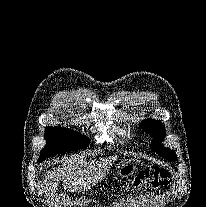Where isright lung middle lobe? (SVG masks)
<instances>
[{"mask_svg": "<svg viewBox=\"0 0 206 207\" xmlns=\"http://www.w3.org/2000/svg\"><path fill=\"white\" fill-rule=\"evenodd\" d=\"M47 146L42 150L39 160L43 161L52 155L85 148L89 138L79 135L73 130L61 127H48L45 131Z\"/></svg>", "mask_w": 206, "mask_h": 207, "instance_id": "1", "label": "right lung middle lobe"}]
</instances>
